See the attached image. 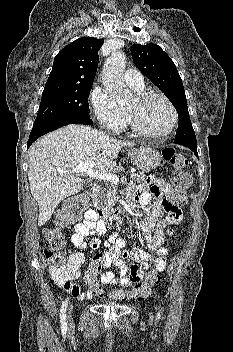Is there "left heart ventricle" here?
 <instances>
[{
    "mask_svg": "<svg viewBox=\"0 0 233 352\" xmlns=\"http://www.w3.org/2000/svg\"><path fill=\"white\" fill-rule=\"evenodd\" d=\"M138 124L151 133H163L171 125L172 113L168 105L159 98H154L144 104L136 99L128 108Z\"/></svg>",
    "mask_w": 233,
    "mask_h": 352,
    "instance_id": "obj_1",
    "label": "left heart ventricle"
}]
</instances>
